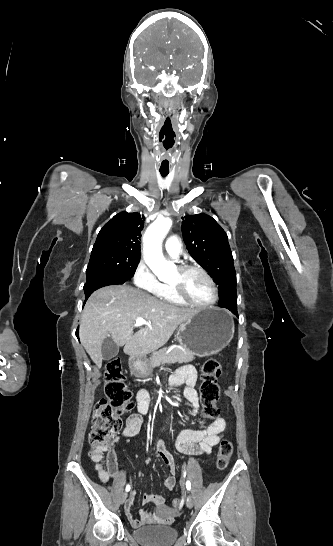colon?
Segmentation results:
<instances>
[{
  "instance_id": "1",
  "label": "colon",
  "mask_w": 333,
  "mask_h": 546,
  "mask_svg": "<svg viewBox=\"0 0 333 546\" xmlns=\"http://www.w3.org/2000/svg\"><path fill=\"white\" fill-rule=\"evenodd\" d=\"M222 375V365L217 359H208L201 370L202 383L200 398L203 406V416L216 419L219 410L215 403L220 396L218 378ZM105 397L101 399L94 410L93 426L90 433V443L93 447H102L110 443L121 428V415L133 408L132 392L126 384L119 358L114 357L106 364ZM233 453V445L229 440L220 443L216 466L224 470ZM175 508H180L182 500L172 501Z\"/></svg>"
}]
</instances>
